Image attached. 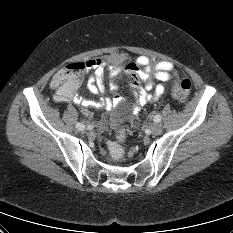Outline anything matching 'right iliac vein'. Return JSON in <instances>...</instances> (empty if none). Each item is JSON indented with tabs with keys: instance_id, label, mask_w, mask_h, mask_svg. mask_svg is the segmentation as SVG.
<instances>
[{
	"instance_id": "63e3f726",
	"label": "right iliac vein",
	"mask_w": 233,
	"mask_h": 233,
	"mask_svg": "<svg viewBox=\"0 0 233 233\" xmlns=\"http://www.w3.org/2000/svg\"><path fill=\"white\" fill-rule=\"evenodd\" d=\"M90 133V129L88 127H85L82 129V134L83 135H88Z\"/></svg>"
}]
</instances>
